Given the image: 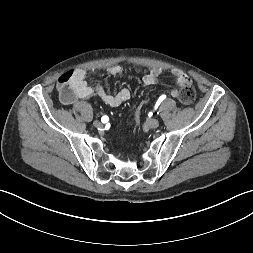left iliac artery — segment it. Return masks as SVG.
Returning <instances> with one entry per match:
<instances>
[{
    "label": "left iliac artery",
    "mask_w": 253,
    "mask_h": 253,
    "mask_svg": "<svg viewBox=\"0 0 253 253\" xmlns=\"http://www.w3.org/2000/svg\"><path fill=\"white\" fill-rule=\"evenodd\" d=\"M165 98H166L165 95L160 96L159 99H158V101H157V103H156V105H155V108H158L159 104H160Z\"/></svg>",
    "instance_id": "obj_1"
}]
</instances>
